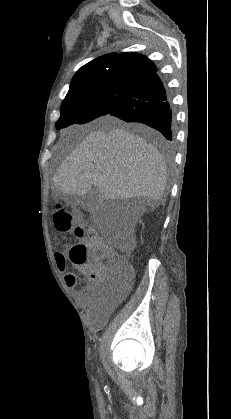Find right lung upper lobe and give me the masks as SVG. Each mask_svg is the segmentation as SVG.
<instances>
[{
	"label": "right lung upper lobe",
	"instance_id": "right-lung-upper-lobe-1",
	"mask_svg": "<svg viewBox=\"0 0 231 419\" xmlns=\"http://www.w3.org/2000/svg\"><path fill=\"white\" fill-rule=\"evenodd\" d=\"M157 70L147 57L138 53H111L92 60L74 75L69 91L103 85L133 86L147 74Z\"/></svg>",
	"mask_w": 231,
	"mask_h": 419
}]
</instances>
